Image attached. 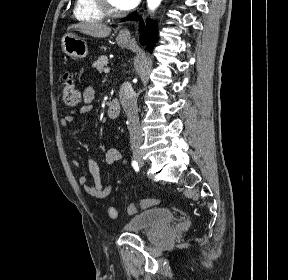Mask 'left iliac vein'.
Returning <instances> with one entry per match:
<instances>
[{"instance_id":"obj_1","label":"left iliac vein","mask_w":288,"mask_h":280,"mask_svg":"<svg viewBox=\"0 0 288 280\" xmlns=\"http://www.w3.org/2000/svg\"><path fill=\"white\" fill-rule=\"evenodd\" d=\"M138 162H139V166H140V167H143L144 161H143L142 159H139Z\"/></svg>"}]
</instances>
